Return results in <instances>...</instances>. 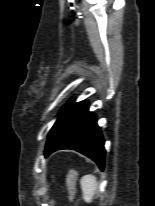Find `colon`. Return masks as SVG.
<instances>
[{"instance_id": "1", "label": "colon", "mask_w": 155, "mask_h": 206, "mask_svg": "<svg viewBox=\"0 0 155 206\" xmlns=\"http://www.w3.org/2000/svg\"><path fill=\"white\" fill-rule=\"evenodd\" d=\"M68 191H69L70 198H72L74 195V192H75V187H74V184L72 182H69V184H68Z\"/></svg>"}]
</instances>
